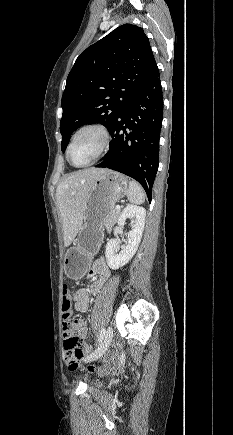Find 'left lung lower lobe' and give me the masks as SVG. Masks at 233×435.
Listing matches in <instances>:
<instances>
[{
    "mask_svg": "<svg viewBox=\"0 0 233 435\" xmlns=\"http://www.w3.org/2000/svg\"><path fill=\"white\" fill-rule=\"evenodd\" d=\"M159 69L127 104L110 129L112 140L105 160L96 167L109 168L137 180L151 201L158 169L163 96Z\"/></svg>",
    "mask_w": 233,
    "mask_h": 435,
    "instance_id": "1",
    "label": "left lung lower lobe"
}]
</instances>
